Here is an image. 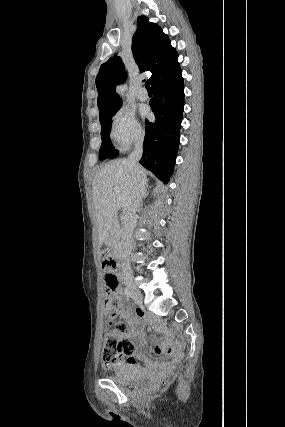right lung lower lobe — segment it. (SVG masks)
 <instances>
[{"label":"right lung lower lobe","instance_id":"98d812e1","mask_svg":"<svg viewBox=\"0 0 285 427\" xmlns=\"http://www.w3.org/2000/svg\"><path fill=\"white\" fill-rule=\"evenodd\" d=\"M152 88L154 96L150 106L156 120L154 123H145L144 151L140 163L166 183L173 172L179 145V129L184 107L181 70Z\"/></svg>","mask_w":285,"mask_h":427}]
</instances>
